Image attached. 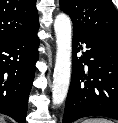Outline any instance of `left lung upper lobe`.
Listing matches in <instances>:
<instances>
[{
    "mask_svg": "<svg viewBox=\"0 0 118 123\" xmlns=\"http://www.w3.org/2000/svg\"><path fill=\"white\" fill-rule=\"evenodd\" d=\"M74 31L118 44V11L111 0H60Z\"/></svg>",
    "mask_w": 118,
    "mask_h": 123,
    "instance_id": "left-lung-upper-lobe-1",
    "label": "left lung upper lobe"
}]
</instances>
